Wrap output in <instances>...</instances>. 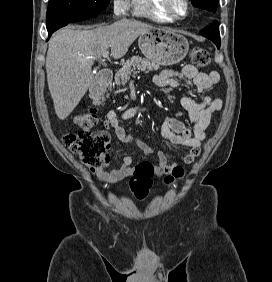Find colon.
I'll use <instances>...</instances> for the list:
<instances>
[{"instance_id": "1", "label": "colon", "mask_w": 272, "mask_h": 282, "mask_svg": "<svg viewBox=\"0 0 272 282\" xmlns=\"http://www.w3.org/2000/svg\"><path fill=\"white\" fill-rule=\"evenodd\" d=\"M191 59L193 65L197 67H205L210 62L209 53L197 46L192 49ZM73 121L80 130L66 133L63 136L64 145L77 155L84 165L91 169L106 170L109 164L110 136L106 131H92L98 123L96 109L90 106L85 107L75 114ZM150 172L151 165L143 162L136 166L130 178V188L138 199H143L148 194ZM183 173L184 170L181 167H175L166 177V184H171Z\"/></svg>"}]
</instances>
